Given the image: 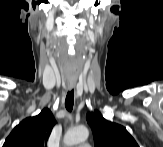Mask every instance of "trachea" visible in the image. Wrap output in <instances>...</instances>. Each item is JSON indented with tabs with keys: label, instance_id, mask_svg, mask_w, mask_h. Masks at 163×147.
Listing matches in <instances>:
<instances>
[{
	"label": "trachea",
	"instance_id": "1",
	"mask_svg": "<svg viewBox=\"0 0 163 147\" xmlns=\"http://www.w3.org/2000/svg\"><path fill=\"white\" fill-rule=\"evenodd\" d=\"M74 105V90L68 91L66 99H65V107L66 109L71 112Z\"/></svg>",
	"mask_w": 163,
	"mask_h": 147
}]
</instances>
